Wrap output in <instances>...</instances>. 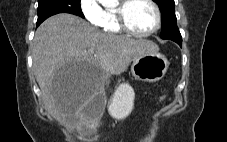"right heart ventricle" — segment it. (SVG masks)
<instances>
[{"label":"right heart ventricle","instance_id":"e07e8e85","mask_svg":"<svg viewBox=\"0 0 227 142\" xmlns=\"http://www.w3.org/2000/svg\"><path fill=\"white\" fill-rule=\"evenodd\" d=\"M99 27L102 31L108 34L122 33V30L116 20L115 11L112 8H106L103 10V16Z\"/></svg>","mask_w":227,"mask_h":142}]
</instances>
